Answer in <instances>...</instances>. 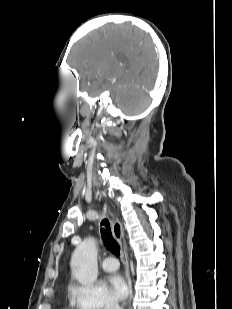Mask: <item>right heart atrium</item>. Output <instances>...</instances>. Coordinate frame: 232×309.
<instances>
[{
	"instance_id": "obj_1",
	"label": "right heart atrium",
	"mask_w": 232,
	"mask_h": 309,
	"mask_svg": "<svg viewBox=\"0 0 232 309\" xmlns=\"http://www.w3.org/2000/svg\"><path fill=\"white\" fill-rule=\"evenodd\" d=\"M68 295L77 309H119L111 294L102 286L71 284Z\"/></svg>"
}]
</instances>
